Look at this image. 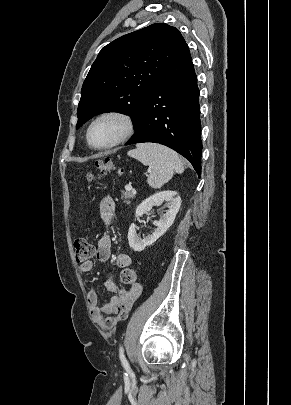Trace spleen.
Here are the masks:
<instances>
[{"label": "spleen", "instance_id": "3e777b00", "mask_svg": "<svg viewBox=\"0 0 291 405\" xmlns=\"http://www.w3.org/2000/svg\"><path fill=\"white\" fill-rule=\"evenodd\" d=\"M128 155L149 166L147 182L152 188H160L174 173L181 174L185 168L184 161L176 152L159 144H140Z\"/></svg>", "mask_w": 291, "mask_h": 405}]
</instances>
